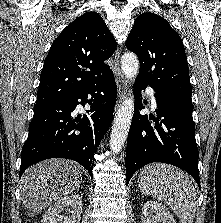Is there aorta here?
Wrapping results in <instances>:
<instances>
[{
	"instance_id": "obj_1",
	"label": "aorta",
	"mask_w": 221,
	"mask_h": 223,
	"mask_svg": "<svg viewBox=\"0 0 221 223\" xmlns=\"http://www.w3.org/2000/svg\"><path fill=\"white\" fill-rule=\"evenodd\" d=\"M121 70L128 80H134L139 72V60L134 53H125L121 58ZM134 113V99L127 97L120 105L110 134V149L114 154L120 152L127 139Z\"/></svg>"
}]
</instances>
